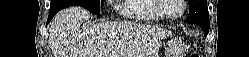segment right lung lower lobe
I'll use <instances>...</instances> for the list:
<instances>
[{
  "mask_svg": "<svg viewBox=\"0 0 249 57\" xmlns=\"http://www.w3.org/2000/svg\"><path fill=\"white\" fill-rule=\"evenodd\" d=\"M59 10H60V9H50L49 18H48L47 22H50L51 19L54 17V15H55Z\"/></svg>",
  "mask_w": 249,
  "mask_h": 57,
  "instance_id": "1",
  "label": "right lung lower lobe"
}]
</instances>
